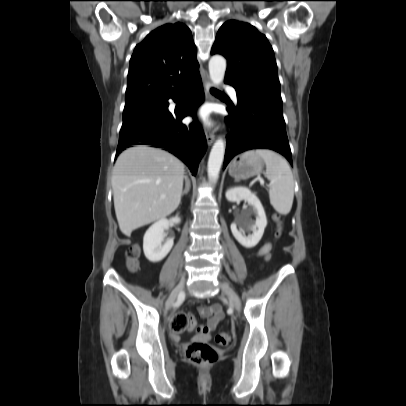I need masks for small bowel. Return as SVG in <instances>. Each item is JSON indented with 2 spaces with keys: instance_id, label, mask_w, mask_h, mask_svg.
<instances>
[{
  "instance_id": "small-bowel-1",
  "label": "small bowel",
  "mask_w": 406,
  "mask_h": 406,
  "mask_svg": "<svg viewBox=\"0 0 406 406\" xmlns=\"http://www.w3.org/2000/svg\"><path fill=\"white\" fill-rule=\"evenodd\" d=\"M271 245L265 243L260 247L257 254L262 257L264 260H268L270 257ZM201 315L208 319L207 327L202 329L201 333L207 335L208 331H213L216 328L217 323L223 318V311L219 304L215 303L210 306H203L199 308ZM173 338L178 339V333H173Z\"/></svg>"
}]
</instances>
